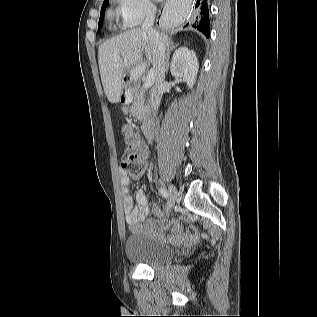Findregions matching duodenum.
I'll return each mask as SVG.
<instances>
[{
  "mask_svg": "<svg viewBox=\"0 0 317 317\" xmlns=\"http://www.w3.org/2000/svg\"><path fill=\"white\" fill-rule=\"evenodd\" d=\"M123 109L130 113V102L128 100H124L122 102ZM157 133V124L154 118H147L144 125V137L147 141H152Z\"/></svg>",
  "mask_w": 317,
  "mask_h": 317,
  "instance_id": "obj_1",
  "label": "duodenum"
}]
</instances>
